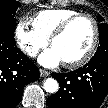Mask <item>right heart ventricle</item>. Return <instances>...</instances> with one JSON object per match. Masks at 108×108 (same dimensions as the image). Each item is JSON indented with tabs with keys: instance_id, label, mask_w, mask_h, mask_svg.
<instances>
[{
	"instance_id": "1",
	"label": "right heart ventricle",
	"mask_w": 108,
	"mask_h": 108,
	"mask_svg": "<svg viewBox=\"0 0 108 108\" xmlns=\"http://www.w3.org/2000/svg\"><path fill=\"white\" fill-rule=\"evenodd\" d=\"M77 13V11L67 8L45 9L37 12L31 18V23L39 34L50 39L52 33L64 20Z\"/></svg>"
}]
</instances>
